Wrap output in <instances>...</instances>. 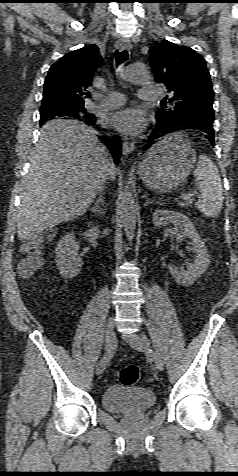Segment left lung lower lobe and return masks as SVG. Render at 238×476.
I'll use <instances>...</instances> for the list:
<instances>
[{
    "label": "left lung lower lobe",
    "instance_id": "1",
    "mask_svg": "<svg viewBox=\"0 0 238 476\" xmlns=\"http://www.w3.org/2000/svg\"><path fill=\"white\" fill-rule=\"evenodd\" d=\"M175 128L203 131L207 134L205 138L211 143L212 146L215 145L213 119L200 115H192L183 118L157 120V124L150 134L144 149H149L152 147L157 142V139L165 134L164 131Z\"/></svg>",
    "mask_w": 238,
    "mask_h": 476
}]
</instances>
